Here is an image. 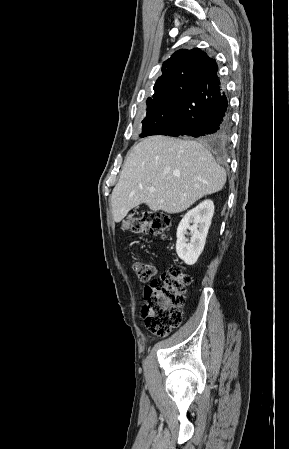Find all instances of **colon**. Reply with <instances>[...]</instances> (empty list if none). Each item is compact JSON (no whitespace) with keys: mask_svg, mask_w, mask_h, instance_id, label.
<instances>
[{"mask_svg":"<svg viewBox=\"0 0 289 449\" xmlns=\"http://www.w3.org/2000/svg\"><path fill=\"white\" fill-rule=\"evenodd\" d=\"M171 224L170 218L158 211H145L130 220L129 228L134 233L150 232L164 236ZM133 269L143 282L150 281L144 289L142 316L147 329L157 336H167L182 322L185 290L191 277L180 267L174 266L155 279L156 267L151 262L137 260Z\"/></svg>","mask_w":289,"mask_h":449,"instance_id":"5ec220e1","label":"colon"}]
</instances>
